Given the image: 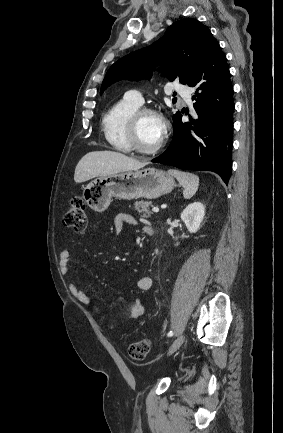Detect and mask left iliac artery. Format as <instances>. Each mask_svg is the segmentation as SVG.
Returning <instances> with one entry per match:
<instances>
[{"mask_svg": "<svg viewBox=\"0 0 283 433\" xmlns=\"http://www.w3.org/2000/svg\"><path fill=\"white\" fill-rule=\"evenodd\" d=\"M167 336H168V337L173 336V331H169L168 334H167Z\"/></svg>", "mask_w": 283, "mask_h": 433, "instance_id": "obj_1", "label": "left iliac artery"}]
</instances>
